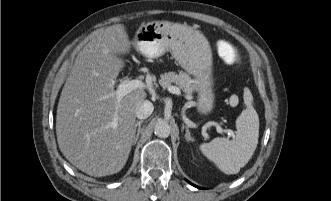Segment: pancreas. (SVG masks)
<instances>
[{
  "label": "pancreas",
  "mask_w": 331,
  "mask_h": 201,
  "mask_svg": "<svg viewBox=\"0 0 331 201\" xmlns=\"http://www.w3.org/2000/svg\"><path fill=\"white\" fill-rule=\"evenodd\" d=\"M172 83L178 86L179 89L183 90V92L188 96H191L192 93L196 90L194 81L188 74L184 72L177 74L176 72L171 71L160 75L159 84L164 89L169 88Z\"/></svg>",
  "instance_id": "1"
}]
</instances>
